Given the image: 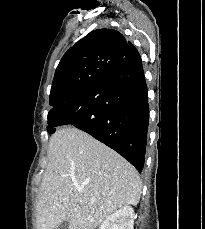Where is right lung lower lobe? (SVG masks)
Masks as SVG:
<instances>
[{"instance_id":"98d812e1","label":"right lung lower lobe","mask_w":205,"mask_h":229,"mask_svg":"<svg viewBox=\"0 0 205 229\" xmlns=\"http://www.w3.org/2000/svg\"><path fill=\"white\" fill-rule=\"evenodd\" d=\"M149 105L141 57L131 46L125 59L101 80L48 114V132L71 124L128 160L139 172L145 159Z\"/></svg>"}]
</instances>
